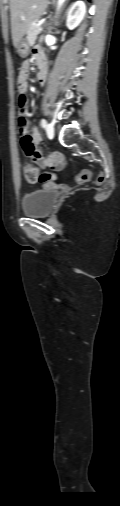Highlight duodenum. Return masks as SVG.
Returning a JSON list of instances; mask_svg holds the SVG:
<instances>
[{"label":"duodenum","instance_id":"duodenum-1","mask_svg":"<svg viewBox=\"0 0 120 506\" xmlns=\"http://www.w3.org/2000/svg\"><path fill=\"white\" fill-rule=\"evenodd\" d=\"M44 61H45V58L42 57L40 54L36 57V62L38 64L39 68H40L39 74H38L39 78H43L44 74H45Z\"/></svg>","mask_w":120,"mask_h":506}]
</instances>
